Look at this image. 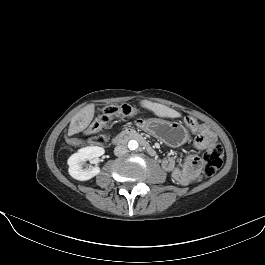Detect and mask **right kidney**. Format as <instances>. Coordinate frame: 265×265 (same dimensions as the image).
Returning <instances> with one entry per match:
<instances>
[{"instance_id": "ca27d5eb", "label": "right kidney", "mask_w": 265, "mask_h": 265, "mask_svg": "<svg viewBox=\"0 0 265 265\" xmlns=\"http://www.w3.org/2000/svg\"><path fill=\"white\" fill-rule=\"evenodd\" d=\"M104 154V148L91 146L80 149L68 159L70 176L79 181H87L100 173V168L95 165L88 169H82L86 161H92Z\"/></svg>"}]
</instances>
